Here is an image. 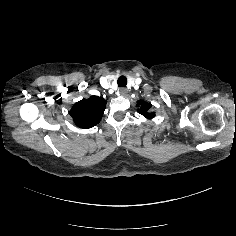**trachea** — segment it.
<instances>
[{"label":"trachea","mask_w":236,"mask_h":236,"mask_svg":"<svg viewBox=\"0 0 236 236\" xmlns=\"http://www.w3.org/2000/svg\"><path fill=\"white\" fill-rule=\"evenodd\" d=\"M118 87H125L127 84V78L125 76H120L117 80Z\"/></svg>","instance_id":"obj_1"}]
</instances>
